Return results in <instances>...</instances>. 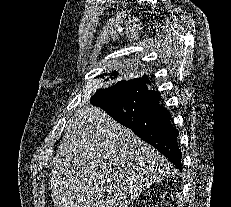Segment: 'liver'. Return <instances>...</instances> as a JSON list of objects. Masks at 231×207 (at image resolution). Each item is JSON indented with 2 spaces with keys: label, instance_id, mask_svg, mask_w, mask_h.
Listing matches in <instances>:
<instances>
[{
  "label": "liver",
  "instance_id": "6515ba94",
  "mask_svg": "<svg viewBox=\"0 0 231 207\" xmlns=\"http://www.w3.org/2000/svg\"><path fill=\"white\" fill-rule=\"evenodd\" d=\"M170 174L152 146L95 106L68 121L51 173L55 207H128Z\"/></svg>",
  "mask_w": 231,
  "mask_h": 207
}]
</instances>
